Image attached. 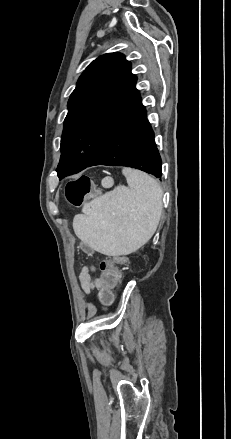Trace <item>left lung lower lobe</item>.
I'll list each match as a JSON object with an SVG mask.
<instances>
[{
  "label": "left lung lower lobe",
  "mask_w": 231,
  "mask_h": 439,
  "mask_svg": "<svg viewBox=\"0 0 231 439\" xmlns=\"http://www.w3.org/2000/svg\"><path fill=\"white\" fill-rule=\"evenodd\" d=\"M95 165L127 166L161 177V157L140 96L86 168Z\"/></svg>",
  "instance_id": "1"
}]
</instances>
